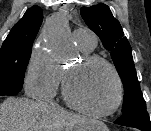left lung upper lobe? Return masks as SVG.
I'll return each mask as SVG.
<instances>
[{"label": "left lung upper lobe", "instance_id": "left-lung-upper-lobe-1", "mask_svg": "<svg viewBox=\"0 0 151 131\" xmlns=\"http://www.w3.org/2000/svg\"><path fill=\"white\" fill-rule=\"evenodd\" d=\"M82 18L88 27L101 39L111 57L124 86L122 114L146 109V102L137 78L131 46L124 36L122 27L105 4H97L80 9Z\"/></svg>", "mask_w": 151, "mask_h": 131}]
</instances>
